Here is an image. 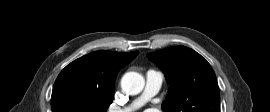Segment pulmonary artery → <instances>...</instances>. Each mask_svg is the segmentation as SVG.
Masks as SVG:
<instances>
[{
  "mask_svg": "<svg viewBox=\"0 0 270 112\" xmlns=\"http://www.w3.org/2000/svg\"><path fill=\"white\" fill-rule=\"evenodd\" d=\"M145 88L142 93V95L135 100L129 107L124 109H115L111 110V112H131L140 106H142L147 100H149L151 97L155 96L164 81V74L157 70H149L146 73L145 76Z\"/></svg>",
  "mask_w": 270,
  "mask_h": 112,
  "instance_id": "obj_1",
  "label": "pulmonary artery"
}]
</instances>
